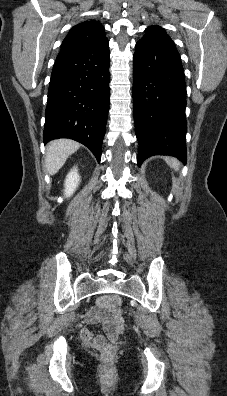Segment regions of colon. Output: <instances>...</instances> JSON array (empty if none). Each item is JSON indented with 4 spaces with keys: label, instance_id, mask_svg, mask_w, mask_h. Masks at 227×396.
<instances>
[{
    "label": "colon",
    "instance_id": "1",
    "mask_svg": "<svg viewBox=\"0 0 227 396\" xmlns=\"http://www.w3.org/2000/svg\"><path fill=\"white\" fill-rule=\"evenodd\" d=\"M113 307L119 309L123 305V298L120 295L114 296L112 300ZM117 349L116 344H107L102 349V355L106 361H111Z\"/></svg>",
    "mask_w": 227,
    "mask_h": 396
}]
</instances>
